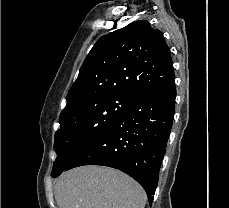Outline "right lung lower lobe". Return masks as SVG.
I'll return each mask as SVG.
<instances>
[{
	"instance_id": "1",
	"label": "right lung lower lobe",
	"mask_w": 229,
	"mask_h": 208,
	"mask_svg": "<svg viewBox=\"0 0 229 208\" xmlns=\"http://www.w3.org/2000/svg\"><path fill=\"white\" fill-rule=\"evenodd\" d=\"M175 77L143 94L111 126L88 142L65 169L102 165L130 175L145 189L149 204L175 113Z\"/></svg>"
}]
</instances>
